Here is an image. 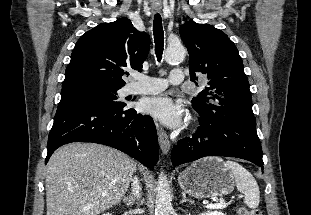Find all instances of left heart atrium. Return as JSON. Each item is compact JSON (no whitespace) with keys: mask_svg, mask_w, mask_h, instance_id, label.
<instances>
[{"mask_svg":"<svg viewBox=\"0 0 311 215\" xmlns=\"http://www.w3.org/2000/svg\"><path fill=\"white\" fill-rule=\"evenodd\" d=\"M141 109L143 113L170 128L179 126L184 116L181 104L166 95L145 100L141 105Z\"/></svg>","mask_w":311,"mask_h":215,"instance_id":"obj_1","label":"left heart atrium"}]
</instances>
